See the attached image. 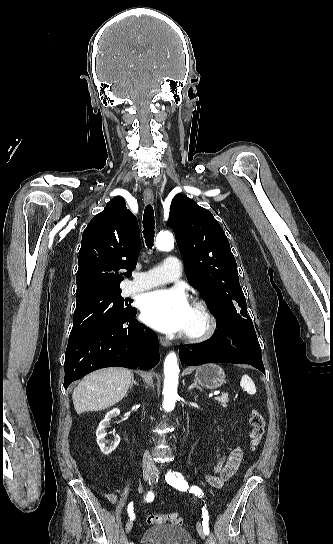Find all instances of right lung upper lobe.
<instances>
[{
	"instance_id": "obj_1",
	"label": "right lung upper lobe",
	"mask_w": 333,
	"mask_h": 544,
	"mask_svg": "<svg viewBox=\"0 0 333 544\" xmlns=\"http://www.w3.org/2000/svg\"><path fill=\"white\" fill-rule=\"evenodd\" d=\"M140 250L136 217L121 197H115L87 225L78 258L76 299L120 290L130 277ZM127 270V272H123Z\"/></svg>"
}]
</instances>
